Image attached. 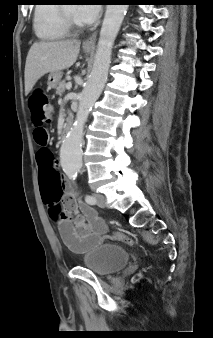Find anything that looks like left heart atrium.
<instances>
[{
	"instance_id": "left-heart-atrium-1",
	"label": "left heart atrium",
	"mask_w": 213,
	"mask_h": 338,
	"mask_svg": "<svg viewBox=\"0 0 213 338\" xmlns=\"http://www.w3.org/2000/svg\"><path fill=\"white\" fill-rule=\"evenodd\" d=\"M89 2V0H86ZM101 14L100 5H80L76 12V19L84 24L96 22Z\"/></svg>"
}]
</instances>
